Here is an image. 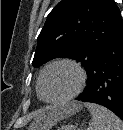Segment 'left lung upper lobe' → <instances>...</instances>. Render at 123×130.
<instances>
[{
  "instance_id": "5c2ea615",
  "label": "left lung upper lobe",
  "mask_w": 123,
  "mask_h": 130,
  "mask_svg": "<svg viewBox=\"0 0 123 130\" xmlns=\"http://www.w3.org/2000/svg\"><path fill=\"white\" fill-rule=\"evenodd\" d=\"M123 22L114 0H62L49 13L37 42L33 66L56 57L81 62L89 71Z\"/></svg>"
}]
</instances>
